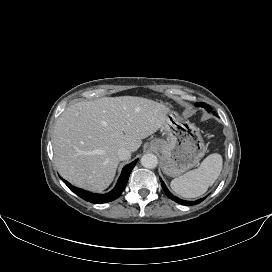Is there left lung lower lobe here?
Instances as JSON below:
<instances>
[{
	"label": "left lung lower lobe",
	"instance_id": "0a47b994",
	"mask_svg": "<svg viewBox=\"0 0 272 272\" xmlns=\"http://www.w3.org/2000/svg\"><path fill=\"white\" fill-rule=\"evenodd\" d=\"M216 115V114H215ZM161 180V179H160ZM161 185H162V188L165 192V194L170 198L172 199L173 201L177 202V203H180L182 205H195V204H198L200 202H202L204 200V198L202 199H199L197 201H193V202H190V201H184V200H181L175 196H173L167 189V187L165 186L164 182L161 180Z\"/></svg>",
	"mask_w": 272,
	"mask_h": 272
}]
</instances>
